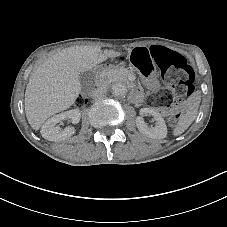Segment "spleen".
<instances>
[{
  "instance_id": "1",
  "label": "spleen",
  "mask_w": 227,
  "mask_h": 227,
  "mask_svg": "<svg viewBox=\"0 0 227 227\" xmlns=\"http://www.w3.org/2000/svg\"><path fill=\"white\" fill-rule=\"evenodd\" d=\"M195 117H196L195 112L182 115L179 118L177 127L174 130V134L175 135L182 134L191 125V123L194 121Z\"/></svg>"
}]
</instances>
